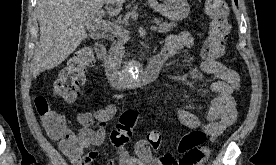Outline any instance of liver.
<instances>
[{"label":"liver","instance_id":"1","mask_svg":"<svg viewBox=\"0 0 276 165\" xmlns=\"http://www.w3.org/2000/svg\"><path fill=\"white\" fill-rule=\"evenodd\" d=\"M125 0H38L40 42L31 68L34 77L65 61L87 38L85 25L104 5L110 16L120 13Z\"/></svg>","mask_w":276,"mask_h":165}]
</instances>
